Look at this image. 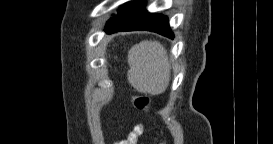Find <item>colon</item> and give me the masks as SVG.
I'll use <instances>...</instances> for the list:
<instances>
[{
  "mask_svg": "<svg viewBox=\"0 0 273 144\" xmlns=\"http://www.w3.org/2000/svg\"><path fill=\"white\" fill-rule=\"evenodd\" d=\"M134 104L137 109L144 110L150 106L151 101L147 97L139 96L135 98Z\"/></svg>",
  "mask_w": 273,
  "mask_h": 144,
  "instance_id": "5ec220e1",
  "label": "colon"
}]
</instances>
